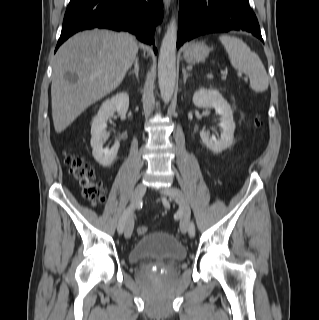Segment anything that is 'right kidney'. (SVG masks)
I'll return each mask as SVG.
<instances>
[{"instance_id": "1", "label": "right kidney", "mask_w": 319, "mask_h": 320, "mask_svg": "<svg viewBox=\"0 0 319 320\" xmlns=\"http://www.w3.org/2000/svg\"><path fill=\"white\" fill-rule=\"evenodd\" d=\"M128 107V94L126 92L118 93L102 103L97 115L93 119L90 142L93 149L92 154L95 160L104 167H109L113 164L120 146L119 142H115L111 149H103L102 139L106 133V122L109 118L113 117L115 112L119 115H125Z\"/></svg>"}]
</instances>
